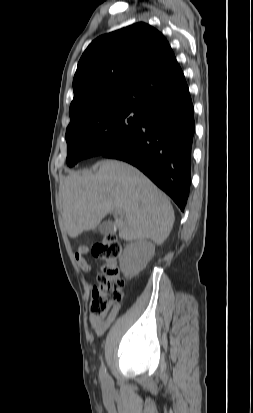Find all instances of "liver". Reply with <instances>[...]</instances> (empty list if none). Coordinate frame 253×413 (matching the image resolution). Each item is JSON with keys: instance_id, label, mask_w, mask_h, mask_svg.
<instances>
[{"instance_id": "1", "label": "liver", "mask_w": 253, "mask_h": 413, "mask_svg": "<svg viewBox=\"0 0 253 413\" xmlns=\"http://www.w3.org/2000/svg\"><path fill=\"white\" fill-rule=\"evenodd\" d=\"M61 197L62 217L71 238L95 229L109 212H115L119 237L126 241L151 239L161 245L174 223L166 195L139 170L117 160L100 162L96 172L70 173Z\"/></svg>"}]
</instances>
